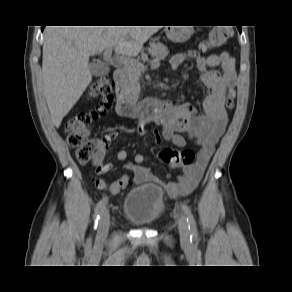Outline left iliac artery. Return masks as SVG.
Returning a JSON list of instances; mask_svg holds the SVG:
<instances>
[{
	"mask_svg": "<svg viewBox=\"0 0 292 292\" xmlns=\"http://www.w3.org/2000/svg\"><path fill=\"white\" fill-rule=\"evenodd\" d=\"M182 209L186 215V219L188 222V227H189V231H190V239L192 241H197V238H198L197 226H196V222H195V219L193 217V214H192L190 208L185 204L182 205Z\"/></svg>",
	"mask_w": 292,
	"mask_h": 292,
	"instance_id": "obj_1",
	"label": "left iliac artery"
}]
</instances>
